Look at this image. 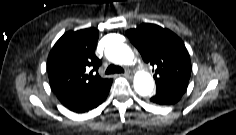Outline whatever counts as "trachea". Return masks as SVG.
I'll return each mask as SVG.
<instances>
[{"mask_svg": "<svg viewBox=\"0 0 236 135\" xmlns=\"http://www.w3.org/2000/svg\"><path fill=\"white\" fill-rule=\"evenodd\" d=\"M123 72H124V69L116 65H109L105 71L106 74L123 73Z\"/></svg>", "mask_w": 236, "mask_h": 135, "instance_id": "1", "label": "trachea"}]
</instances>
